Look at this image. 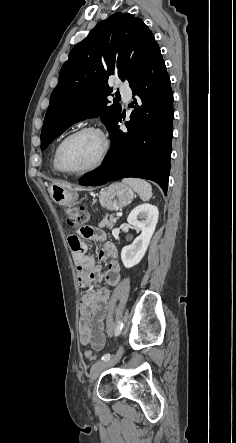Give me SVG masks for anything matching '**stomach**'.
Returning <instances> with one entry per match:
<instances>
[{
  "instance_id": "1",
  "label": "stomach",
  "mask_w": 236,
  "mask_h": 443,
  "mask_svg": "<svg viewBox=\"0 0 236 443\" xmlns=\"http://www.w3.org/2000/svg\"><path fill=\"white\" fill-rule=\"evenodd\" d=\"M49 192L53 201L59 205L67 206L78 202L79 196L72 189L53 184L49 188ZM133 198L134 192L127 184L116 182L101 192L100 203L103 208L114 211L130 204Z\"/></svg>"
}]
</instances>
